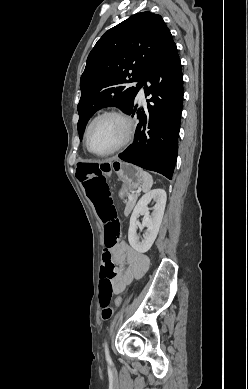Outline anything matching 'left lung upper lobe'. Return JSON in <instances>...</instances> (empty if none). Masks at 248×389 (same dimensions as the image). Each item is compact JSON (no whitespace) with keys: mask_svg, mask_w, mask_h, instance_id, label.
<instances>
[{"mask_svg":"<svg viewBox=\"0 0 248 389\" xmlns=\"http://www.w3.org/2000/svg\"><path fill=\"white\" fill-rule=\"evenodd\" d=\"M173 44L162 17L149 11L132 15L98 40L80 79V139L96 111L114 106L125 112L134 103L147 74Z\"/></svg>","mask_w":248,"mask_h":389,"instance_id":"obj_1","label":"left lung upper lobe"}]
</instances>
